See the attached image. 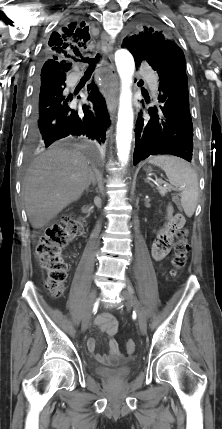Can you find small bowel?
<instances>
[{
	"label": "small bowel",
	"mask_w": 222,
	"mask_h": 429,
	"mask_svg": "<svg viewBox=\"0 0 222 429\" xmlns=\"http://www.w3.org/2000/svg\"><path fill=\"white\" fill-rule=\"evenodd\" d=\"M185 224V218L182 214L173 213L172 207L167 208L166 221L159 229L156 235V240L152 245L151 254L156 261L165 259L174 242L177 231ZM95 325L105 332L109 337L108 353L101 354L97 352L96 340L89 338L87 340V347L94 359L105 366L117 367L127 361V358L122 355L118 342L114 336L118 332V322L109 313L103 312L96 316L94 320Z\"/></svg>",
	"instance_id": "1"
}]
</instances>
